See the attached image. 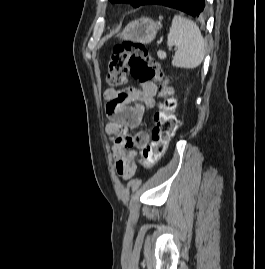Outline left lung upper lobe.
<instances>
[{
	"instance_id": "left-lung-upper-lobe-1",
	"label": "left lung upper lobe",
	"mask_w": 265,
	"mask_h": 269,
	"mask_svg": "<svg viewBox=\"0 0 265 269\" xmlns=\"http://www.w3.org/2000/svg\"><path fill=\"white\" fill-rule=\"evenodd\" d=\"M112 2H126V3H130L132 4L133 6L135 7H138L140 5H142V3L145 1V0H110Z\"/></svg>"
}]
</instances>
